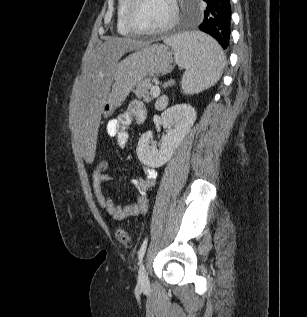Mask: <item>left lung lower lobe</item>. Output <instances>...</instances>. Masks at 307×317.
<instances>
[{
    "label": "left lung lower lobe",
    "instance_id": "left-lung-lower-lobe-1",
    "mask_svg": "<svg viewBox=\"0 0 307 317\" xmlns=\"http://www.w3.org/2000/svg\"><path fill=\"white\" fill-rule=\"evenodd\" d=\"M203 1L207 3V6L198 28L215 38L223 49H227L230 38V0Z\"/></svg>",
    "mask_w": 307,
    "mask_h": 317
}]
</instances>
